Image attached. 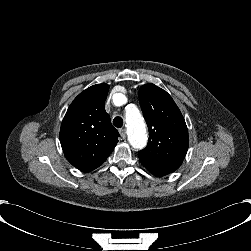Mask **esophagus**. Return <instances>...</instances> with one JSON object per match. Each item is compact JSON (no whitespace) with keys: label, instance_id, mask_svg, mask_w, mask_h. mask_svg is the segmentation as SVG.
Listing matches in <instances>:
<instances>
[{"label":"esophagus","instance_id":"34e87169","mask_svg":"<svg viewBox=\"0 0 251 251\" xmlns=\"http://www.w3.org/2000/svg\"><path fill=\"white\" fill-rule=\"evenodd\" d=\"M119 132H120V136L122 137V139H125L126 138V130L123 128Z\"/></svg>","mask_w":251,"mask_h":251}]
</instances>
